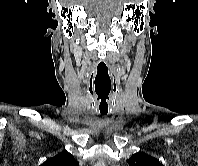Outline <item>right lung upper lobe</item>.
<instances>
[{"instance_id":"1","label":"right lung upper lobe","mask_w":198,"mask_h":166,"mask_svg":"<svg viewBox=\"0 0 198 166\" xmlns=\"http://www.w3.org/2000/svg\"><path fill=\"white\" fill-rule=\"evenodd\" d=\"M41 166H78V163L70 153L62 152L48 158Z\"/></svg>"}]
</instances>
